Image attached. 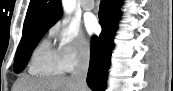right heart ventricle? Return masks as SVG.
I'll list each match as a JSON object with an SVG mask.
<instances>
[{
	"label": "right heart ventricle",
	"mask_w": 173,
	"mask_h": 91,
	"mask_svg": "<svg viewBox=\"0 0 173 91\" xmlns=\"http://www.w3.org/2000/svg\"><path fill=\"white\" fill-rule=\"evenodd\" d=\"M29 72L38 76L62 75L64 69L57 52L47 42H42L32 55Z\"/></svg>",
	"instance_id": "e07e8e85"
}]
</instances>
